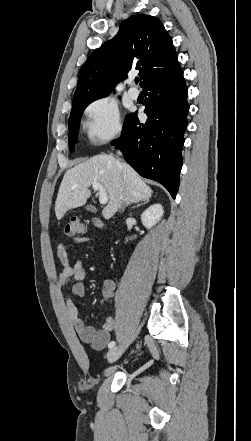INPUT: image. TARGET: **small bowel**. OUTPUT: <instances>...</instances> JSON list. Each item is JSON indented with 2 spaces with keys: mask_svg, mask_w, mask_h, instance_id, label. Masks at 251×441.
Segmentation results:
<instances>
[{
  "mask_svg": "<svg viewBox=\"0 0 251 441\" xmlns=\"http://www.w3.org/2000/svg\"><path fill=\"white\" fill-rule=\"evenodd\" d=\"M88 238L77 237L74 242L77 244L87 243ZM57 255L62 265V270L58 274L57 283L61 290H66L71 285V293L77 297H84L86 293L84 279L88 274L85 263L81 260L71 264L69 254L64 245L57 247ZM116 284L112 280H105L102 284V304H105L114 296ZM66 310L69 319L81 341L89 344L95 350H102L108 344L111 334L116 330L117 323L112 316L105 318L101 329L97 330L93 326L85 324L79 316L78 309L70 296L65 300Z\"/></svg>",
  "mask_w": 251,
  "mask_h": 441,
  "instance_id": "c3829d8e",
  "label": "small bowel"
}]
</instances>
